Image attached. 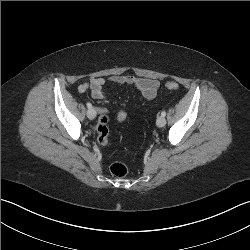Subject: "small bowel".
Wrapping results in <instances>:
<instances>
[{
    "label": "small bowel",
    "mask_w": 250,
    "mask_h": 250,
    "mask_svg": "<svg viewBox=\"0 0 250 250\" xmlns=\"http://www.w3.org/2000/svg\"><path fill=\"white\" fill-rule=\"evenodd\" d=\"M107 83L117 86L126 85L134 87L139 90L147 100H153L156 97L159 88V82L155 79L115 75L109 77L107 80L103 78H91L78 86V92L84 93L87 90H90L91 96L94 99L102 100L106 97L104 87ZM105 112L104 108L99 109L101 115L105 114Z\"/></svg>",
    "instance_id": "1"
}]
</instances>
